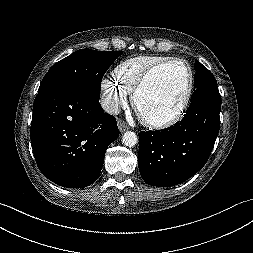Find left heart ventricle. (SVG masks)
<instances>
[{
	"mask_svg": "<svg viewBox=\"0 0 253 253\" xmlns=\"http://www.w3.org/2000/svg\"><path fill=\"white\" fill-rule=\"evenodd\" d=\"M188 86V72L175 64L159 70L141 91L136 111L144 120H163L180 109Z\"/></svg>",
	"mask_w": 253,
	"mask_h": 253,
	"instance_id": "b2bd125f",
	"label": "left heart ventricle"
}]
</instances>
